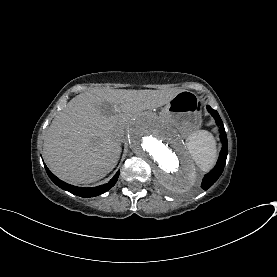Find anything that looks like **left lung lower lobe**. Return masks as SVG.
Wrapping results in <instances>:
<instances>
[{
	"instance_id": "1",
	"label": "left lung lower lobe",
	"mask_w": 277,
	"mask_h": 277,
	"mask_svg": "<svg viewBox=\"0 0 277 277\" xmlns=\"http://www.w3.org/2000/svg\"><path fill=\"white\" fill-rule=\"evenodd\" d=\"M208 112L215 118L217 125H219V131H220V138L222 141V150L220 152V156L218 159V162L214 169L211 170L210 173L205 175L201 187L204 190H207L209 187H211L217 179L220 177V175L223 172L225 163H226V158H227V153H228V143H227V136L225 133L224 125L222 123V120L218 114V112L214 109H212L210 106H207Z\"/></svg>"
}]
</instances>
